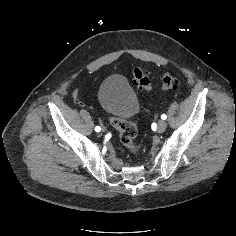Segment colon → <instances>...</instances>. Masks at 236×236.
<instances>
[{"label":"colon","instance_id":"obj_1","mask_svg":"<svg viewBox=\"0 0 236 236\" xmlns=\"http://www.w3.org/2000/svg\"><path fill=\"white\" fill-rule=\"evenodd\" d=\"M133 80L140 88L146 91H152L156 85L153 83L149 74L143 69L136 68L133 70ZM178 85L177 78L170 72H166L161 77L160 87L163 90L175 89ZM110 123L117 129L120 142L134 156L141 152V146L136 142L137 129L132 122L111 118Z\"/></svg>","mask_w":236,"mask_h":236}]
</instances>
